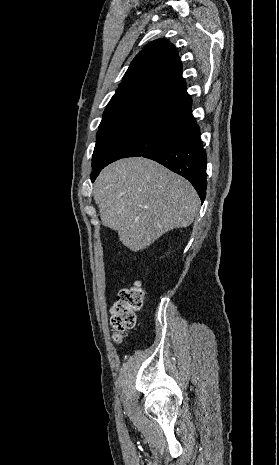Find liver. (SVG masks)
<instances>
[{
	"mask_svg": "<svg viewBox=\"0 0 279 465\" xmlns=\"http://www.w3.org/2000/svg\"><path fill=\"white\" fill-rule=\"evenodd\" d=\"M101 222L117 231L133 252L166 232L189 226L199 197L185 178L143 157L125 158L104 168L93 187Z\"/></svg>",
	"mask_w": 279,
	"mask_h": 465,
	"instance_id": "6515ba94",
	"label": "liver"
}]
</instances>
